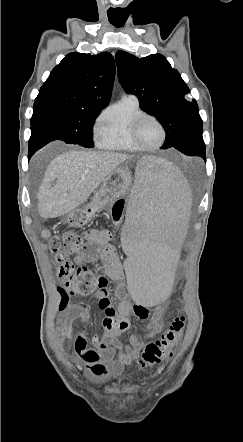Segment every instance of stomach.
<instances>
[{"label": "stomach", "mask_w": 243, "mask_h": 442, "mask_svg": "<svg viewBox=\"0 0 243 442\" xmlns=\"http://www.w3.org/2000/svg\"><path fill=\"white\" fill-rule=\"evenodd\" d=\"M131 183L130 170L124 166L117 167L104 179L100 189L95 192L89 203L65 216L66 223L71 227H81L87 224L106 205L126 195L130 191Z\"/></svg>", "instance_id": "0dacf381"}]
</instances>
